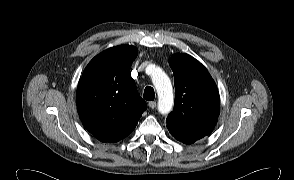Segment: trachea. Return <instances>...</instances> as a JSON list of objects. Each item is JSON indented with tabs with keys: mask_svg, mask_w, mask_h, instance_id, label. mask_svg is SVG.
Masks as SVG:
<instances>
[{
	"mask_svg": "<svg viewBox=\"0 0 294 180\" xmlns=\"http://www.w3.org/2000/svg\"><path fill=\"white\" fill-rule=\"evenodd\" d=\"M143 98L152 101L155 98V92L154 89L150 86H147L144 90Z\"/></svg>",
	"mask_w": 294,
	"mask_h": 180,
	"instance_id": "obj_1",
	"label": "trachea"
}]
</instances>
